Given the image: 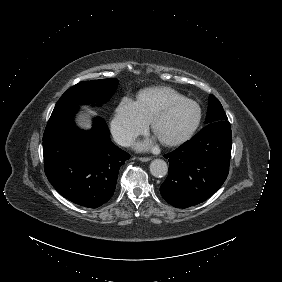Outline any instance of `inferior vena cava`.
I'll list each match as a JSON object with an SVG mask.
<instances>
[{"instance_id": "1", "label": "inferior vena cava", "mask_w": 282, "mask_h": 282, "mask_svg": "<svg viewBox=\"0 0 282 282\" xmlns=\"http://www.w3.org/2000/svg\"><path fill=\"white\" fill-rule=\"evenodd\" d=\"M114 141L124 147L131 146L134 141V136L127 130H112Z\"/></svg>"}]
</instances>
